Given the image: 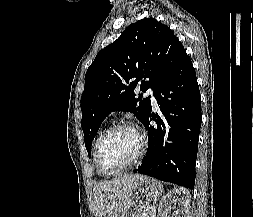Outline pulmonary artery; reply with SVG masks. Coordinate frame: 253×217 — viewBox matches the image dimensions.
Wrapping results in <instances>:
<instances>
[{
  "mask_svg": "<svg viewBox=\"0 0 253 217\" xmlns=\"http://www.w3.org/2000/svg\"><path fill=\"white\" fill-rule=\"evenodd\" d=\"M146 93H147V95H149L150 100H151L152 105L154 106V108H157V100H156L155 95H154V90L152 88H149Z\"/></svg>",
  "mask_w": 253,
  "mask_h": 217,
  "instance_id": "1",
  "label": "pulmonary artery"
}]
</instances>
